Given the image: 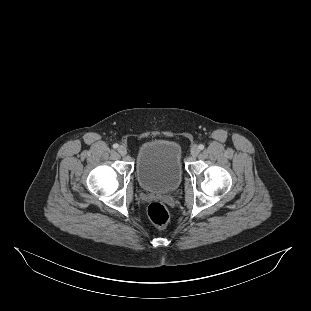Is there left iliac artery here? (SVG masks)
<instances>
[{
	"label": "left iliac artery",
	"mask_w": 311,
	"mask_h": 311,
	"mask_svg": "<svg viewBox=\"0 0 311 311\" xmlns=\"http://www.w3.org/2000/svg\"><path fill=\"white\" fill-rule=\"evenodd\" d=\"M199 149H200V150H203V149H204V145H203V144H200V145H199Z\"/></svg>",
	"instance_id": "obj_1"
}]
</instances>
